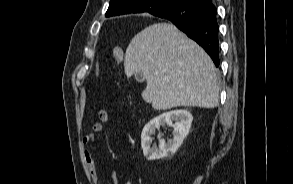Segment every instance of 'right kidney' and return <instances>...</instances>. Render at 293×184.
Listing matches in <instances>:
<instances>
[{
	"instance_id": "obj_1",
	"label": "right kidney",
	"mask_w": 293,
	"mask_h": 184,
	"mask_svg": "<svg viewBox=\"0 0 293 184\" xmlns=\"http://www.w3.org/2000/svg\"><path fill=\"white\" fill-rule=\"evenodd\" d=\"M192 120L193 117L187 110L165 112L152 119L147 125H145L141 134V147L146 159L153 161L172 157L188 135ZM165 125L173 126V139L166 143L159 135V148H151V135L155 133L156 129Z\"/></svg>"
}]
</instances>
